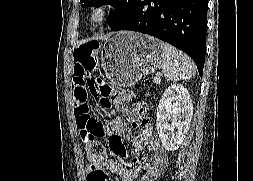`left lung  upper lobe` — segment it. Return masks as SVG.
Wrapping results in <instances>:
<instances>
[{"mask_svg":"<svg viewBox=\"0 0 253 181\" xmlns=\"http://www.w3.org/2000/svg\"><path fill=\"white\" fill-rule=\"evenodd\" d=\"M81 6L86 8L89 6H102L103 4H110L115 8V11L109 14L107 24L113 27L118 24L130 11L134 0H80Z\"/></svg>","mask_w":253,"mask_h":181,"instance_id":"5c2ea615","label":"left lung upper lobe"}]
</instances>
